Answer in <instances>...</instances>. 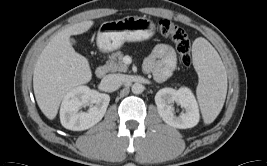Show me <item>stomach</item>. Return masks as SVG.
Returning <instances> with one entry per match:
<instances>
[{
    "instance_id": "stomach-1",
    "label": "stomach",
    "mask_w": 267,
    "mask_h": 166,
    "mask_svg": "<svg viewBox=\"0 0 267 166\" xmlns=\"http://www.w3.org/2000/svg\"><path fill=\"white\" fill-rule=\"evenodd\" d=\"M155 24L145 17L127 16L101 25L97 34V46L102 52H111L125 42H138L153 36Z\"/></svg>"
}]
</instances>
